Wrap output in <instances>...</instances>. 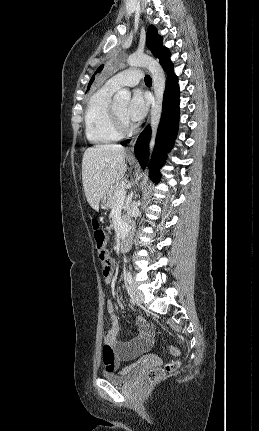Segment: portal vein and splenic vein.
Masks as SVG:
<instances>
[{
  "label": "portal vein and splenic vein",
  "mask_w": 259,
  "mask_h": 431,
  "mask_svg": "<svg viewBox=\"0 0 259 431\" xmlns=\"http://www.w3.org/2000/svg\"><path fill=\"white\" fill-rule=\"evenodd\" d=\"M116 196H117L118 200L124 201L125 197H126V190L125 189L118 190L116 193Z\"/></svg>",
  "instance_id": "portal-vein-and-splenic-vein-1"
}]
</instances>
